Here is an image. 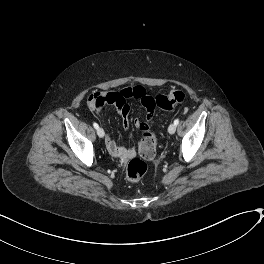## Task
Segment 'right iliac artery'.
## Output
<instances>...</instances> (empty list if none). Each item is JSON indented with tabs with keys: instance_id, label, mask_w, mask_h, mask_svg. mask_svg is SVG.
<instances>
[{
	"instance_id": "1",
	"label": "right iliac artery",
	"mask_w": 264,
	"mask_h": 264,
	"mask_svg": "<svg viewBox=\"0 0 264 264\" xmlns=\"http://www.w3.org/2000/svg\"><path fill=\"white\" fill-rule=\"evenodd\" d=\"M93 126H94L95 129L99 128V126H98V124L96 122L93 123Z\"/></svg>"
}]
</instances>
